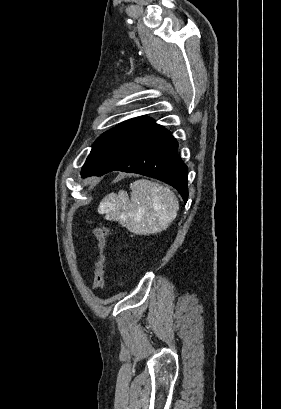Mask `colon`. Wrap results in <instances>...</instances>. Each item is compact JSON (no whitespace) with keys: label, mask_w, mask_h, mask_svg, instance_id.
Wrapping results in <instances>:
<instances>
[{"label":"colon","mask_w":281,"mask_h":409,"mask_svg":"<svg viewBox=\"0 0 281 409\" xmlns=\"http://www.w3.org/2000/svg\"><path fill=\"white\" fill-rule=\"evenodd\" d=\"M97 238L99 256L95 267V289L100 293L105 284V249L107 245L108 229L104 225H98L93 229Z\"/></svg>","instance_id":"obj_1"}]
</instances>
